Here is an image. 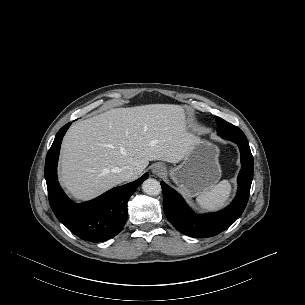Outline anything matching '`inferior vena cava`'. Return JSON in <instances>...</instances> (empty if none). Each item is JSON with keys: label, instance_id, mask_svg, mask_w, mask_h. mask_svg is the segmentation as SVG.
I'll list each match as a JSON object with an SVG mask.
<instances>
[{"label": "inferior vena cava", "instance_id": "1", "mask_svg": "<svg viewBox=\"0 0 305 305\" xmlns=\"http://www.w3.org/2000/svg\"><path fill=\"white\" fill-rule=\"evenodd\" d=\"M134 173V168L130 165L124 166L121 169H119L118 174L122 181L130 180Z\"/></svg>", "mask_w": 305, "mask_h": 305}]
</instances>
